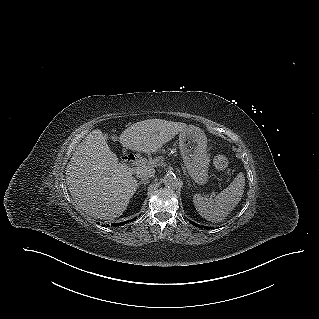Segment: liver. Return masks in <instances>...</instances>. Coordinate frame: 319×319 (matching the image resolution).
Segmentation results:
<instances>
[{
  "label": "liver",
  "instance_id": "1",
  "mask_svg": "<svg viewBox=\"0 0 319 319\" xmlns=\"http://www.w3.org/2000/svg\"><path fill=\"white\" fill-rule=\"evenodd\" d=\"M187 128L182 122L148 119L125 129L119 141L127 149L154 153ZM107 138L99 129L91 131L76 147L66 168V183L75 203L87 215L104 220L119 217L127 209L137 188L133 175L152 169L118 163Z\"/></svg>",
  "mask_w": 319,
  "mask_h": 319
}]
</instances>
